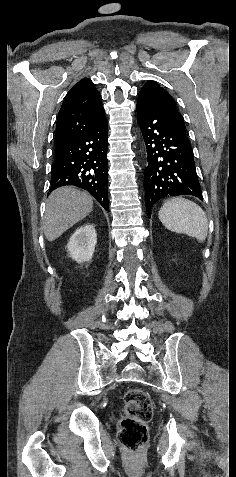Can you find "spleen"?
Wrapping results in <instances>:
<instances>
[{"label": "spleen", "mask_w": 236, "mask_h": 477, "mask_svg": "<svg viewBox=\"0 0 236 477\" xmlns=\"http://www.w3.org/2000/svg\"><path fill=\"white\" fill-rule=\"evenodd\" d=\"M162 224L172 232L184 233L204 241L208 220L203 209L185 198H172L163 204L158 213Z\"/></svg>", "instance_id": "1"}]
</instances>
